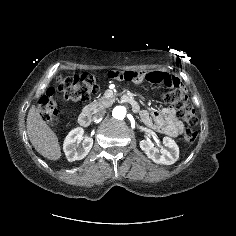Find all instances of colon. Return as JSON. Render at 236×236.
Masks as SVG:
<instances>
[{
  "label": "colon",
  "mask_w": 236,
  "mask_h": 236,
  "mask_svg": "<svg viewBox=\"0 0 236 236\" xmlns=\"http://www.w3.org/2000/svg\"><path fill=\"white\" fill-rule=\"evenodd\" d=\"M58 90L68 101H84L91 97L98 90L96 79L92 74H66L58 78ZM163 100L174 105L177 109V115L185 120L190 127L184 130V139L192 143L197 138V131L192 128L198 122V117L194 106L187 102V98L178 86L163 95ZM37 109L42 118L47 123H52L57 114L58 107L54 99V89L48 88L37 102Z\"/></svg>",
  "instance_id": "obj_1"
}]
</instances>
